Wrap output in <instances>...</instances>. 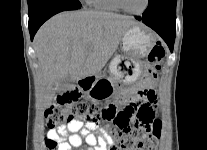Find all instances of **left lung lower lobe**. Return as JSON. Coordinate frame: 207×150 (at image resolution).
I'll return each instance as SVG.
<instances>
[{"instance_id": "obj_1", "label": "left lung lower lobe", "mask_w": 207, "mask_h": 150, "mask_svg": "<svg viewBox=\"0 0 207 150\" xmlns=\"http://www.w3.org/2000/svg\"><path fill=\"white\" fill-rule=\"evenodd\" d=\"M136 18L156 31L167 43L170 51H173L176 35V5L170 6L164 11L153 16H142Z\"/></svg>"}]
</instances>
